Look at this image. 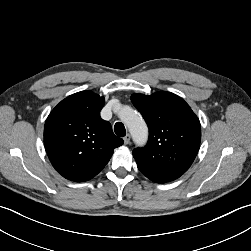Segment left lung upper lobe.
Wrapping results in <instances>:
<instances>
[{
    "instance_id": "5c2ea615",
    "label": "left lung upper lobe",
    "mask_w": 251,
    "mask_h": 251,
    "mask_svg": "<svg viewBox=\"0 0 251 251\" xmlns=\"http://www.w3.org/2000/svg\"><path fill=\"white\" fill-rule=\"evenodd\" d=\"M131 100L149 127L147 145L133 150L138 168L184 174L200 147L197 116L182 98L170 92L133 94Z\"/></svg>"
}]
</instances>
